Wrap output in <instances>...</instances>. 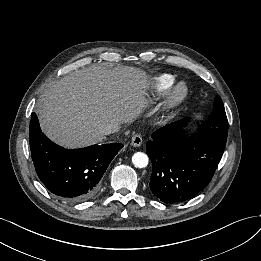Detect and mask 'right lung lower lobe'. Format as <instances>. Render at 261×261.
Listing matches in <instances>:
<instances>
[{"label": "right lung lower lobe", "mask_w": 261, "mask_h": 261, "mask_svg": "<svg viewBox=\"0 0 261 261\" xmlns=\"http://www.w3.org/2000/svg\"><path fill=\"white\" fill-rule=\"evenodd\" d=\"M29 131L38 177L50 192L69 201H84L95 195L108 165L123 147L120 143H110L65 149L41 132L35 113L31 115Z\"/></svg>", "instance_id": "1"}]
</instances>
